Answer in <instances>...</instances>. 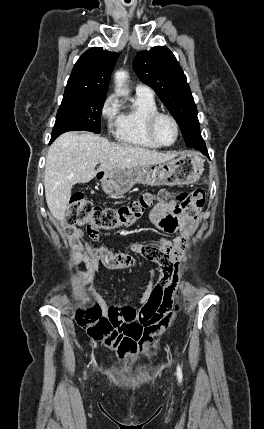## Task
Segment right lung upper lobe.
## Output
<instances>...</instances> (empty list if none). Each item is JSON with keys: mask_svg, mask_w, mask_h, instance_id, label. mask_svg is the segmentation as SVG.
Instances as JSON below:
<instances>
[{"mask_svg": "<svg viewBox=\"0 0 264 429\" xmlns=\"http://www.w3.org/2000/svg\"><path fill=\"white\" fill-rule=\"evenodd\" d=\"M118 53L93 47L78 59L64 95L106 96Z\"/></svg>", "mask_w": 264, "mask_h": 429, "instance_id": "1", "label": "right lung upper lobe"}]
</instances>
